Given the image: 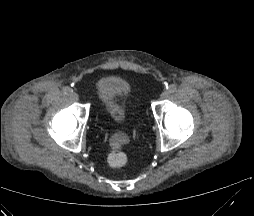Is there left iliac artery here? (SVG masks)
I'll return each mask as SVG.
<instances>
[{"label":"left iliac artery","instance_id":"left-iliac-artery-1","mask_svg":"<svg viewBox=\"0 0 254 216\" xmlns=\"http://www.w3.org/2000/svg\"><path fill=\"white\" fill-rule=\"evenodd\" d=\"M168 92L174 93L177 90V85L171 84L167 87Z\"/></svg>","mask_w":254,"mask_h":216}]
</instances>
